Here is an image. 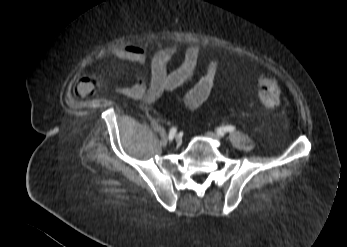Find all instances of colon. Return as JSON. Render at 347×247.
Instances as JSON below:
<instances>
[{"label":"colon","mask_w":347,"mask_h":247,"mask_svg":"<svg viewBox=\"0 0 347 247\" xmlns=\"http://www.w3.org/2000/svg\"><path fill=\"white\" fill-rule=\"evenodd\" d=\"M257 97L267 107H276L280 102L279 81L272 74H263L257 79Z\"/></svg>","instance_id":"1"}]
</instances>
